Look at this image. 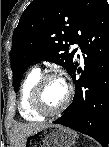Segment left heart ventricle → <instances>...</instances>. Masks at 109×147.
Segmentation results:
<instances>
[{
  "instance_id": "obj_1",
  "label": "left heart ventricle",
  "mask_w": 109,
  "mask_h": 147,
  "mask_svg": "<svg viewBox=\"0 0 109 147\" xmlns=\"http://www.w3.org/2000/svg\"><path fill=\"white\" fill-rule=\"evenodd\" d=\"M66 97V85L60 79L48 80L41 91V102L47 110L59 107Z\"/></svg>"
}]
</instances>
